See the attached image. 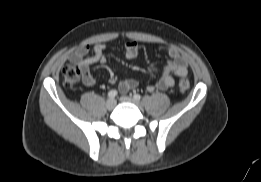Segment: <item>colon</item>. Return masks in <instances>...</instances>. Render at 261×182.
<instances>
[{"mask_svg":"<svg viewBox=\"0 0 261 182\" xmlns=\"http://www.w3.org/2000/svg\"><path fill=\"white\" fill-rule=\"evenodd\" d=\"M81 71L77 65H65L62 69L63 85L67 88L74 87L80 80ZM178 87L182 92L189 89L190 83L187 79L182 78L178 82Z\"/></svg>","mask_w":261,"mask_h":182,"instance_id":"5ec220e1","label":"colon"}]
</instances>
